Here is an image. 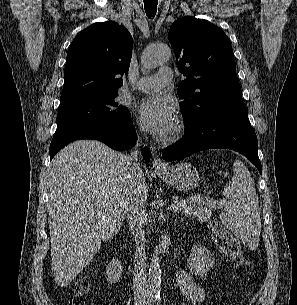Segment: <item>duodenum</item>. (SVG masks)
<instances>
[{
	"instance_id": "410a0bca",
	"label": "duodenum",
	"mask_w": 297,
	"mask_h": 305,
	"mask_svg": "<svg viewBox=\"0 0 297 305\" xmlns=\"http://www.w3.org/2000/svg\"><path fill=\"white\" fill-rule=\"evenodd\" d=\"M168 244L166 242L162 243L161 245V253H165L167 251Z\"/></svg>"
}]
</instances>
